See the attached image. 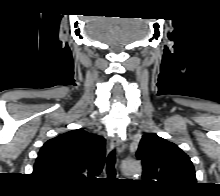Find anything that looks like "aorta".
Returning <instances> with one entry per match:
<instances>
[{
	"label": "aorta",
	"instance_id": "aorta-1",
	"mask_svg": "<svg viewBox=\"0 0 220 196\" xmlns=\"http://www.w3.org/2000/svg\"><path fill=\"white\" fill-rule=\"evenodd\" d=\"M121 167L125 175H134L141 171L140 162L134 159L124 160Z\"/></svg>",
	"mask_w": 220,
	"mask_h": 196
}]
</instances>
